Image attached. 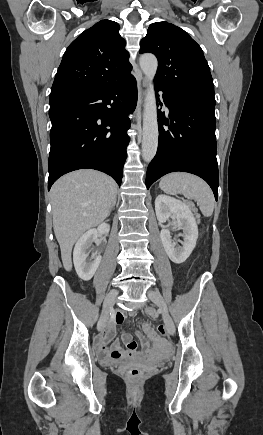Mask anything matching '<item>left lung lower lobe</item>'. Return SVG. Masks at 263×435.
<instances>
[{"label": "left lung lower lobe", "instance_id": "1", "mask_svg": "<svg viewBox=\"0 0 263 435\" xmlns=\"http://www.w3.org/2000/svg\"><path fill=\"white\" fill-rule=\"evenodd\" d=\"M155 89L163 91L170 114L169 119H165L164 113L158 112L159 144L147 170V189L167 173L189 172L203 178L217 200L215 106L176 96L156 85ZM163 125H168V128Z\"/></svg>", "mask_w": 263, "mask_h": 435}]
</instances>
